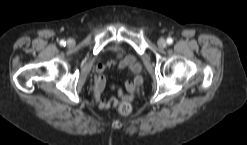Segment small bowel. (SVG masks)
Instances as JSON below:
<instances>
[{
	"label": "small bowel",
	"instance_id": "c3829d8e",
	"mask_svg": "<svg viewBox=\"0 0 247 145\" xmlns=\"http://www.w3.org/2000/svg\"><path fill=\"white\" fill-rule=\"evenodd\" d=\"M110 66H117L120 69H127L128 73L133 76L132 81L125 83L124 89H118V96L121 100L130 101L135 91L136 85L141 82V78L137 75L141 70V65L137 62L136 58L132 55H119L116 59H109L105 64H99L96 67V79L94 84V97L97 105L102 110L115 108L118 100L113 98L107 100L103 98V92L106 86V79L104 71Z\"/></svg>",
	"mask_w": 247,
	"mask_h": 145
}]
</instances>
